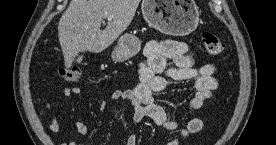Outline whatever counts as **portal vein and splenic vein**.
<instances>
[{
	"mask_svg": "<svg viewBox=\"0 0 276 145\" xmlns=\"http://www.w3.org/2000/svg\"><path fill=\"white\" fill-rule=\"evenodd\" d=\"M112 18H113V17H112V16H110V17H108V20H112Z\"/></svg>",
	"mask_w": 276,
	"mask_h": 145,
	"instance_id": "18ae733b",
	"label": "portal vein and splenic vein"
}]
</instances>
